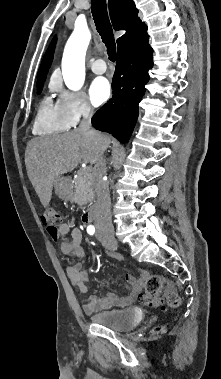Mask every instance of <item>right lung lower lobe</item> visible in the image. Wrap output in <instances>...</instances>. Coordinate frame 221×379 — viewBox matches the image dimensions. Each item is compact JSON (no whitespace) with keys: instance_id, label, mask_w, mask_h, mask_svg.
<instances>
[{"instance_id":"obj_1","label":"right lung lower lobe","mask_w":221,"mask_h":379,"mask_svg":"<svg viewBox=\"0 0 221 379\" xmlns=\"http://www.w3.org/2000/svg\"><path fill=\"white\" fill-rule=\"evenodd\" d=\"M148 41L146 28L118 47L113 97L92 118L96 129L112 134L122 143L128 141L136 124L138 104L150 78L148 70L153 67V50Z\"/></svg>"}]
</instances>
